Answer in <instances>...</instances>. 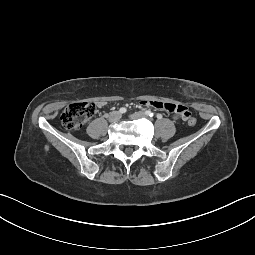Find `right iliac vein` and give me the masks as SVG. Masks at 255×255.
Returning <instances> with one entry per match:
<instances>
[{"label":"right iliac vein","mask_w":255,"mask_h":255,"mask_svg":"<svg viewBox=\"0 0 255 255\" xmlns=\"http://www.w3.org/2000/svg\"><path fill=\"white\" fill-rule=\"evenodd\" d=\"M121 118V113L119 111H113L109 115V122H116Z\"/></svg>","instance_id":"63e3f726"}]
</instances>
